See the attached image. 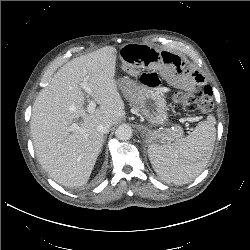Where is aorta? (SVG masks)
Returning a JSON list of instances; mask_svg holds the SVG:
<instances>
[{"instance_id":"aorta-1","label":"aorta","mask_w":250,"mask_h":250,"mask_svg":"<svg viewBox=\"0 0 250 250\" xmlns=\"http://www.w3.org/2000/svg\"><path fill=\"white\" fill-rule=\"evenodd\" d=\"M132 134L133 130L128 124H121L115 131L116 138L122 141L129 140L132 137Z\"/></svg>"}]
</instances>
